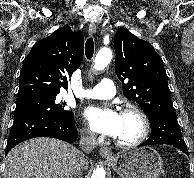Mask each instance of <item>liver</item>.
Segmentation results:
<instances>
[{"label": "liver", "mask_w": 194, "mask_h": 178, "mask_svg": "<svg viewBox=\"0 0 194 178\" xmlns=\"http://www.w3.org/2000/svg\"><path fill=\"white\" fill-rule=\"evenodd\" d=\"M82 162L74 146L54 138L25 141L7 155L4 178H73ZM88 163L85 160L84 166Z\"/></svg>", "instance_id": "6515ba94"}]
</instances>
